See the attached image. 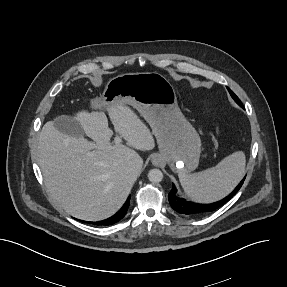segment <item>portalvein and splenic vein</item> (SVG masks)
I'll return each mask as SVG.
<instances>
[{"instance_id":"18ae733b","label":"portal vein and splenic vein","mask_w":287,"mask_h":287,"mask_svg":"<svg viewBox=\"0 0 287 287\" xmlns=\"http://www.w3.org/2000/svg\"><path fill=\"white\" fill-rule=\"evenodd\" d=\"M114 141H115V144H120L122 139H121V137L116 136Z\"/></svg>"}]
</instances>
